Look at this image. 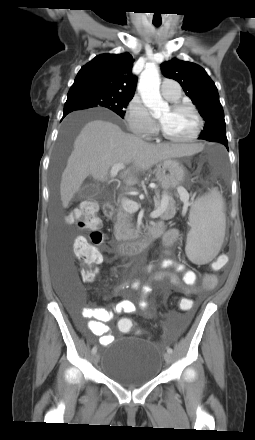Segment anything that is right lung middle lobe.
Segmentation results:
<instances>
[{"label": "right lung middle lobe", "mask_w": 255, "mask_h": 440, "mask_svg": "<svg viewBox=\"0 0 255 440\" xmlns=\"http://www.w3.org/2000/svg\"><path fill=\"white\" fill-rule=\"evenodd\" d=\"M132 98L133 97L118 96L104 92H79L68 94L67 101L64 105V112L92 107H105L123 118L125 113L124 108H126Z\"/></svg>", "instance_id": "obj_1"}]
</instances>
